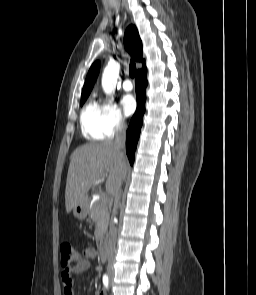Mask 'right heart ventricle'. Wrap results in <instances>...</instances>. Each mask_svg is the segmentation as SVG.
<instances>
[{
	"label": "right heart ventricle",
	"mask_w": 256,
	"mask_h": 295,
	"mask_svg": "<svg viewBox=\"0 0 256 295\" xmlns=\"http://www.w3.org/2000/svg\"><path fill=\"white\" fill-rule=\"evenodd\" d=\"M83 136L92 141H100L109 137L104 124L103 107L95 100H89L80 115Z\"/></svg>",
	"instance_id": "right-heart-ventricle-1"
}]
</instances>
